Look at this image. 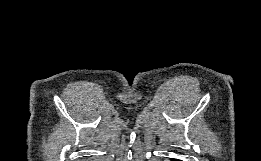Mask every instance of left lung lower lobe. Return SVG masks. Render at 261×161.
Wrapping results in <instances>:
<instances>
[{"instance_id":"1","label":"left lung lower lobe","mask_w":261,"mask_h":161,"mask_svg":"<svg viewBox=\"0 0 261 161\" xmlns=\"http://www.w3.org/2000/svg\"><path fill=\"white\" fill-rule=\"evenodd\" d=\"M172 161H180V160L173 159Z\"/></svg>"}]
</instances>
